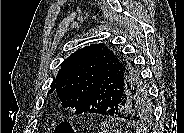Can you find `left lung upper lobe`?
I'll use <instances>...</instances> for the list:
<instances>
[{"instance_id": "obj_1", "label": "left lung upper lobe", "mask_w": 184, "mask_h": 133, "mask_svg": "<svg viewBox=\"0 0 184 133\" xmlns=\"http://www.w3.org/2000/svg\"><path fill=\"white\" fill-rule=\"evenodd\" d=\"M104 51L114 63V67L120 70L121 75L127 84L136 86V77H140L134 64L123 57L120 52L111 51L105 44H91L83 49L72 53L61 63L56 79L51 83L48 94L57 92L62 101V106L77 109L79 105L87 98L95 82L98 68V60L101 52ZM140 84L144 87L145 92L137 93L133 98L135 106L129 108L128 112L134 116V124L139 126L147 123L152 115V105L148 96L147 89L140 79ZM94 99V96L91 99Z\"/></svg>"}]
</instances>
